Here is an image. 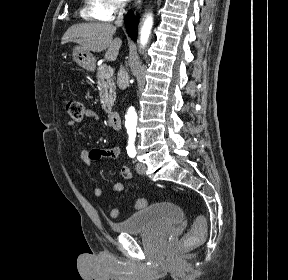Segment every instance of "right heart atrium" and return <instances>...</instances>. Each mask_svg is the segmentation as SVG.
I'll use <instances>...</instances> for the list:
<instances>
[{"instance_id": "obj_1", "label": "right heart atrium", "mask_w": 288, "mask_h": 280, "mask_svg": "<svg viewBox=\"0 0 288 280\" xmlns=\"http://www.w3.org/2000/svg\"><path fill=\"white\" fill-rule=\"evenodd\" d=\"M99 2L100 19L110 21L124 8L125 0H99Z\"/></svg>"}]
</instances>
